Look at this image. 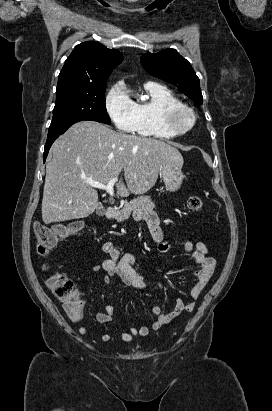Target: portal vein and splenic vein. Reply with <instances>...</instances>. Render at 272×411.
<instances>
[{
    "instance_id": "obj_1",
    "label": "portal vein and splenic vein",
    "mask_w": 272,
    "mask_h": 411,
    "mask_svg": "<svg viewBox=\"0 0 272 411\" xmlns=\"http://www.w3.org/2000/svg\"><path fill=\"white\" fill-rule=\"evenodd\" d=\"M117 181H118V178H113L107 184H102V183L93 182V181H89L88 183L94 188L105 190L111 197H113L114 196L113 187Z\"/></svg>"
}]
</instances>
